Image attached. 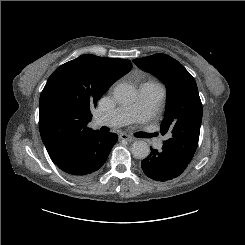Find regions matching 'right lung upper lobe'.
<instances>
[{"label": "right lung upper lobe", "instance_id": "cb5924a9", "mask_svg": "<svg viewBox=\"0 0 245 245\" xmlns=\"http://www.w3.org/2000/svg\"><path fill=\"white\" fill-rule=\"evenodd\" d=\"M131 68L129 60L85 54L53 72L40 96L39 128L54 163L94 132L91 109Z\"/></svg>", "mask_w": 245, "mask_h": 245}]
</instances>
